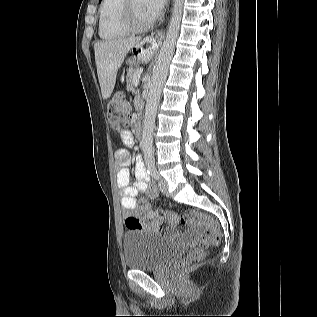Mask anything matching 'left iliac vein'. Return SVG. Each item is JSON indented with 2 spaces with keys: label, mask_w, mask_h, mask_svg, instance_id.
Instances as JSON below:
<instances>
[{
  "label": "left iliac vein",
  "mask_w": 317,
  "mask_h": 317,
  "mask_svg": "<svg viewBox=\"0 0 317 317\" xmlns=\"http://www.w3.org/2000/svg\"><path fill=\"white\" fill-rule=\"evenodd\" d=\"M158 186H159V189L160 191L168 196L169 195V192H168V185H167V182L166 180H164L163 178H160L159 182H158Z\"/></svg>",
  "instance_id": "obj_1"
}]
</instances>
